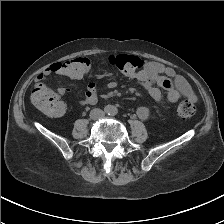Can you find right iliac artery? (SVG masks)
I'll return each mask as SVG.
<instances>
[{
	"label": "right iliac artery",
	"instance_id": "obj_1",
	"mask_svg": "<svg viewBox=\"0 0 224 224\" xmlns=\"http://www.w3.org/2000/svg\"><path fill=\"white\" fill-rule=\"evenodd\" d=\"M104 111H105L106 113H110V112L112 111V108H111L110 106H106V107L104 108Z\"/></svg>",
	"mask_w": 224,
	"mask_h": 224
}]
</instances>
